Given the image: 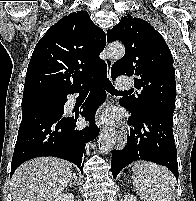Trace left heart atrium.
I'll return each instance as SVG.
<instances>
[{
  "label": "left heart atrium",
  "instance_id": "obj_1",
  "mask_svg": "<svg viewBox=\"0 0 196 201\" xmlns=\"http://www.w3.org/2000/svg\"><path fill=\"white\" fill-rule=\"evenodd\" d=\"M101 119L104 120V121H109V120L112 119V116L110 114H105V115L102 116Z\"/></svg>",
  "mask_w": 196,
  "mask_h": 201
}]
</instances>
